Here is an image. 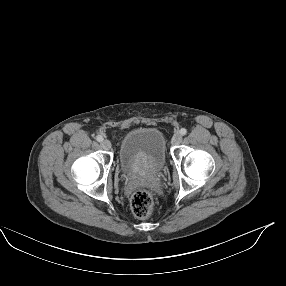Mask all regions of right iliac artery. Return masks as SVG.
<instances>
[{
  "label": "right iliac artery",
  "mask_w": 286,
  "mask_h": 286,
  "mask_svg": "<svg viewBox=\"0 0 286 286\" xmlns=\"http://www.w3.org/2000/svg\"><path fill=\"white\" fill-rule=\"evenodd\" d=\"M96 140H97L98 142H101V141L103 140V138H102V136L97 135V136H96Z\"/></svg>",
  "instance_id": "1"
}]
</instances>
